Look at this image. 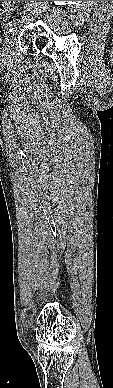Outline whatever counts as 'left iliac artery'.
Listing matches in <instances>:
<instances>
[{
    "label": "left iliac artery",
    "mask_w": 113,
    "mask_h": 388,
    "mask_svg": "<svg viewBox=\"0 0 113 388\" xmlns=\"http://www.w3.org/2000/svg\"><path fill=\"white\" fill-rule=\"evenodd\" d=\"M20 22V19H13L7 22L5 25V33L9 34L13 30V26L17 25Z\"/></svg>",
    "instance_id": "obj_1"
}]
</instances>
